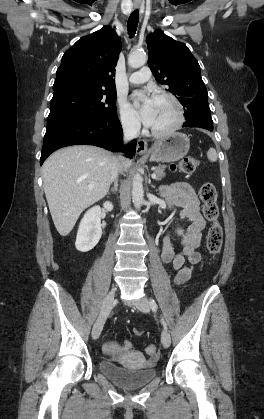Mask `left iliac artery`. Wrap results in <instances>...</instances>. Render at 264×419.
I'll return each instance as SVG.
<instances>
[{
    "label": "left iliac artery",
    "instance_id": "obj_1",
    "mask_svg": "<svg viewBox=\"0 0 264 419\" xmlns=\"http://www.w3.org/2000/svg\"><path fill=\"white\" fill-rule=\"evenodd\" d=\"M150 305H151V307L153 308V309H157L158 308V306H157V304H156V302H155V300L154 299H150ZM162 323H163V326H164V328L165 329H167V326H166V323H165V321L162 319Z\"/></svg>",
    "mask_w": 264,
    "mask_h": 419
}]
</instances>
